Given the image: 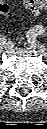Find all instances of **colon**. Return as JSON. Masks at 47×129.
Segmentation results:
<instances>
[{"instance_id": "5ec220e1", "label": "colon", "mask_w": 47, "mask_h": 129, "mask_svg": "<svg viewBox=\"0 0 47 129\" xmlns=\"http://www.w3.org/2000/svg\"><path fill=\"white\" fill-rule=\"evenodd\" d=\"M27 8L31 10L33 15L37 16L47 7V0H23ZM0 12L6 16L9 12V7L6 3L0 4Z\"/></svg>"}]
</instances>
